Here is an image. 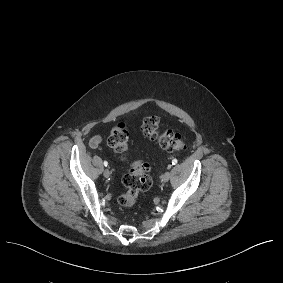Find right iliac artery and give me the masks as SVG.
<instances>
[{
	"instance_id": "right-iliac-artery-1",
	"label": "right iliac artery",
	"mask_w": 283,
	"mask_h": 283,
	"mask_svg": "<svg viewBox=\"0 0 283 283\" xmlns=\"http://www.w3.org/2000/svg\"><path fill=\"white\" fill-rule=\"evenodd\" d=\"M108 165V162L107 161H104V166H107Z\"/></svg>"
}]
</instances>
